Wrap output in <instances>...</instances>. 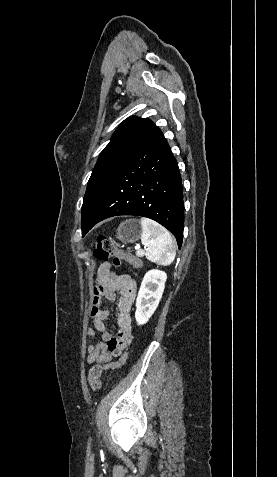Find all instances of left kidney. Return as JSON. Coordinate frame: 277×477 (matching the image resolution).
Listing matches in <instances>:
<instances>
[{
    "instance_id": "1",
    "label": "left kidney",
    "mask_w": 277,
    "mask_h": 477,
    "mask_svg": "<svg viewBox=\"0 0 277 477\" xmlns=\"http://www.w3.org/2000/svg\"><path fill=\"white\" fill-rule=\"evenodd\" d=\"M166 279V273L160 270H150L145 274L136 299L135 319L138 325L146 324L154 314L162 298Z\"/></svg>"
}]
</instances>
